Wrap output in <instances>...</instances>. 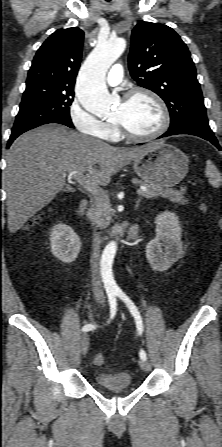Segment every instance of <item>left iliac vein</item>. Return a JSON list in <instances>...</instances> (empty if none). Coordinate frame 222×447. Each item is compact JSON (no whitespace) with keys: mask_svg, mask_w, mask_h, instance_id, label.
Here are the masks:
<instances>
[{"mask_svg":"<svg viewBox=\"0 0 222 447\" xmlns=\"http://www.w3.org/2000/svg\"><path fill=\"white\" fill-rule=\"evenodd\" d=\"M139 365H140L141 369L146 371V372L151 370V365H150V363L147 360L141 359L139 361Z\"/></svg>","mask_w":222,"mask_h":447,"instance_id":"obj_1","label":"left iliac vein"}]
</instances>
